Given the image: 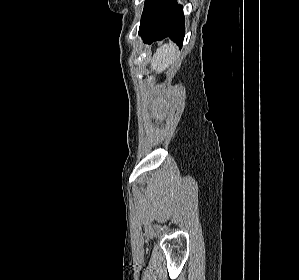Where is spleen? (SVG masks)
Here are the masks:
<instances>
[{
	"mask_svg": "<svg viewBox=\"0 0 299 280\" xmlns=\"http://www.w3.org/2000/svg\"><path fill=\"white\" fill-rule=\"evenodd\" d=\"M178 55V49L174 44H164L153 55L152 68L158 73L164 71L172 64Z\"/></svg>",
	"mask_w": 299,
	"mask_h": 280,
	"instance_id": "1",
	"label": "spleen"
}]
</instances>
